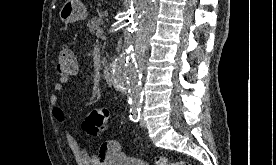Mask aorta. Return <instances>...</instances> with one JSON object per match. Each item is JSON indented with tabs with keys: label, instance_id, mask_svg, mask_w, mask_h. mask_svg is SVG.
<instances>
[{
	"label": "aorta",
	"instance_id": "762f6f07",
	"mask_svg": "<svg viewBox=\"0 0 276 165\" xmlns=\"http://www.w3.org/2000/svg\"><path fill=\"white\" fill-rule=\"evenodd\" d=\"M129 33L123 52L109 66L113 86L124 90L131 102L142 98V54L154 33L158 14V0H131Z\"/></svg>",
	"mask_w": 276,
	"mask_h": 165
}]
</instances>
